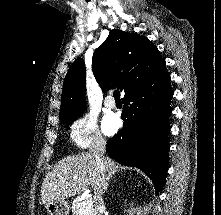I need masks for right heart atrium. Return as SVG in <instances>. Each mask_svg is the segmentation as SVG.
<instances>
[{
	"label": "right heart atrium",
	"mask_w": 221,
	"mask_h": 215,
	"mask_svg": "<svg viewBox=\"0 0 221 215\" xmlns=\"http://www.w3.org/2000/svg\"><path fill=\"white\" fill-rule=\"evenodd\" d=\"M70 137L72 143L81 149L102 143L103 137L96 116L84 113L75 119L71 125Z\"/></svg>",
	"instance_id": "d8ad5b80"
}]
</instances>
